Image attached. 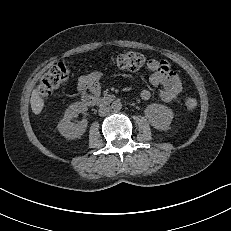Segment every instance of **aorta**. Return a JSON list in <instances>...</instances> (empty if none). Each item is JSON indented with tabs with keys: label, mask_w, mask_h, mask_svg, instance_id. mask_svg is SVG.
<instances>
[{
	"label": "aorta",
	"mask_w": 231,
	"mask_h": 231,
	"mask_svg": "<svg viewBox=\"0 0 231 231\" xmlns=\"http://www.w3.org/2000/svg\"><path fill=\"white\" fill-rule=\"evenodd\" d=\"M111 108L115 111H118L122 108V103L119 100H115L112 105Z\"/></svg>",
	"instance_id": "762f6f07"
}]
</instances>
